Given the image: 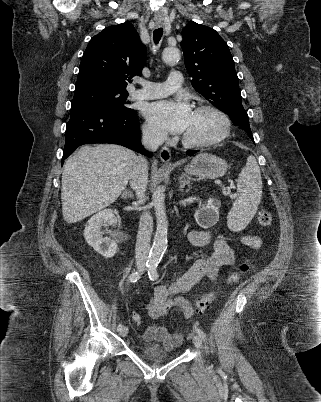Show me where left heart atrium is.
Returning a JSON list of instances; mask_svg holds the SVG:
<instances>
[{"label":"left heart atrium","mask_w":321,"mask_h":402,"mask_svg":"<svg viewBox=\"0 0 321 402\" xmlns=\"http://www.w3.org/2000/svg\"><path fill=\"white\" fill-rule=\"evenodd\" d=\"M143 113L155 129L183 133L191 118L192 110L184 100L168 99L147 104Z\"/></svg>","instance_id":"obj_1"}]
</instances>
